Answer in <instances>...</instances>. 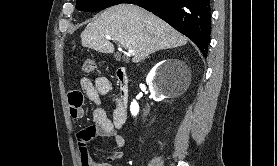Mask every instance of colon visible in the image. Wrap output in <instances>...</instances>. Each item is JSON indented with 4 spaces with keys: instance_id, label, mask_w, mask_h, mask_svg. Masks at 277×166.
<instances>
[{
    "instance_id": "1",
    "label": "colon",
    "mask_w": 277,
    "mask_h": 166,
    "mask_svg": "<svg viewBox=\"0 0 277 166\" xmlns=\"http://www.w3.org/2000/svg\"><path fill=\"white\" fill-rule=\"evenodd\" d=\"M82 70L85 72V73H91L94 68H95V61L93 58L91 57H88L86 59H84V61L82 62Z\"/></svg>"
}]
</instances>
